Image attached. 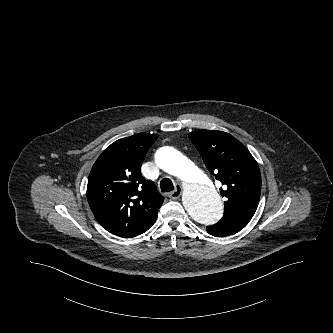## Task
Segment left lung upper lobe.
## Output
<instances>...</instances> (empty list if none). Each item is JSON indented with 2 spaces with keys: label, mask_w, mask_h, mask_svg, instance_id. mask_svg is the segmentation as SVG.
Returning a JSON list of instances; mask_svg holds the SVG:
<instances>
[{
  "label": "left lung upper lobe",
  "mask_w": 333,
  "mask_h": 333,
  "mask_svg": "<svg viewBox=\"0 0 333 333\" xmlns=\"http://www.w3.org/2000/svg\"><path fill=\"white\" fill-rule=\"evenodd\" d=\"M189 138L209 172L224 185L220 193L226 201L219 223L244 228L260 198L261 175L256 160L241 142L226 132L198 130L191 132Z\"/></svg>",
  "instance_id": "1"
}]
</instances>
